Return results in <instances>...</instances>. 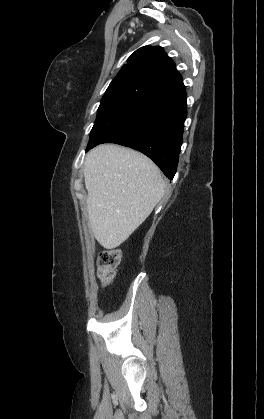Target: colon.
<instances>
[{
  "mask_svg": "<svg viewBox=\"0 0 264 419\" xmlns=\"http://www.w3.org/2000/svg\"><path fill=\"white\" fill-rule=\"evenodd\" d=\"M121 253L118 250L102 251L98 258V277L104 286H108L120 263Z\"/></svg>",
  "mask_w": 264,
  "mask_h": 419,
  "instance_id": "1",
  "label": "colon"
}]
</instances>
